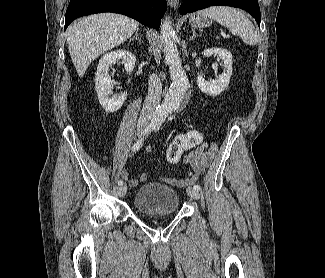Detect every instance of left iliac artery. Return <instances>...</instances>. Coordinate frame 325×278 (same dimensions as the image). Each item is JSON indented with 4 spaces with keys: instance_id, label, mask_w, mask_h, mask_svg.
<instances>
[{
    "instance_id": "obj_1",
    "label": "left iliac artery",
    "mask_w": 325,
    "mask_h": 278,
    "mask_svg": "<svg viewBox=\"0 0 325 278\" xmlns=\"http://www.w3.org/2000/svg\"><path fill=\"white\" fill-rule=\"evenodd\" d=\"M159 125H156L155 127H154V131H158L159 130ZM193 188L195 189V190H201V187H200V185H194L193 186Z\"/></svg>"
}]
</instances>
